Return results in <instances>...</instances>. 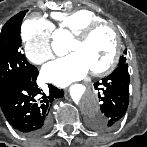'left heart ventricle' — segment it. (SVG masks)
<instances>
[{
	"label": "left heart ventricle",
	"instance_id": "b2bd125f",
	"mask_svg": "<svg viewBox=\"0 0 147 147\" xmlns=\"http://www.w3.org/2000/svg\"><path fill=\"white\" fill-rule=\"evenodd\" d=\"M70 50L79 53L89 70H99L111 60L115 50V36L110 29L97 31L87 42L72 41Z\"/></svg>",
	"mask_w": 147,
	"mask_h": 147
}]
</instances>
